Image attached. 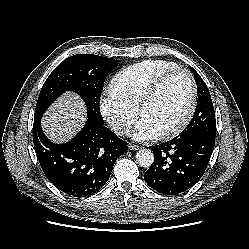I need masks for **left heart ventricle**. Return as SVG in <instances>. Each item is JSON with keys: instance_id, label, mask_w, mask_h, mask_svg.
I'll return each instance as SVG.
<instances>
[{"instance_id": "obj_1", "label": "left heart ventricle", "mask_w": 249, "mask_h": 249, "mask_svg": "<svg viewBox=\"0 0 249 249\" xmlns=\"http://www.w3.org/2000/svg\"><path fill=\"white\" fill-rule=\"evenodd\" d=\"M189 100L188 78L182 72L176 73L165 81L155 98L143 110L142 117L150 120L162 132L183 117Z\"/></svg>"}]
</instances>
